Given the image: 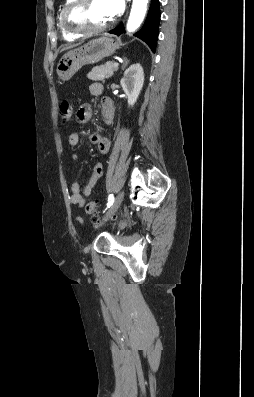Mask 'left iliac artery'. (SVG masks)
I'll use <instances>...</instances> for the list:
<instances>
[{"instance_id": "left-iliac-artery-1", "label": "left iliac artery", "mask_w": 254, "mask_h": 397, "mask_svg": "<svg viewBox=\"0 0 254 397\" xmlns=\"http://www.w3.org/2000/svg\"><path fill=\"white\" fill-rule=\"evenodd\" d=\"M114 202V196L110 195L108 198L107 208H109Z\"/></svg>"}]
</instances>
